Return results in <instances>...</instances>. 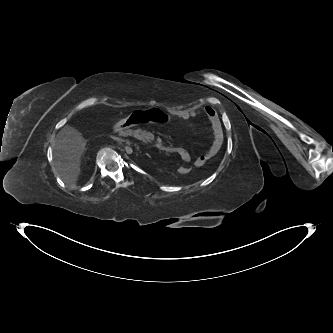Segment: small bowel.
I'll return each mask as SVG.
<instances>
[{
    "label": "small bowel",
    "instance_id": "small-bowel-1",
    "mask_svg": "<svg viewBox=\"0 0 333 333\" xmlns=\"http://www.w3.org/2000/svg\"><path fill=\"white\" fill-rule=\"evenodd\" d=\"M200 112H203L209 119L212 128L213 141L209 146V148L202 155H200L194 160V165L196 167H202L207 161L214 158L218 154L223 142V133H222L220 119L217 112L214 109L206 107L204 109L183 110L178 114H176V118L186 121L189 120L190 118L197 116ZM172 151L176 153L183 162H189L191 160V155L189 151L186 150L185 148L174 147L172 148Z\"/></svg>",
    "mask_w": 333,
    "mask_h": 333
}]
</instances>
